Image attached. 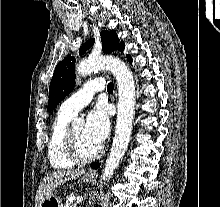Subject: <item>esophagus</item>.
<instances>
[{
    "mask_svg": "<svg viewBox=\"0 0 220 207\" xmlns=\"http://www.w3.org/2000/svg\"><path fill=\"white\" fill-rule=\"evenodd\" d=\"M116 95H117V94H116V90H115V91H114V96L116 97ZM89 174H90V175H95L96 172H95V170H90V171H89Z\"/></svg>",
    "mask_w": 220,
    "mask_h": 207,
    "instance_id": "1",
    "label": "esophagus"
}]
</instances>
